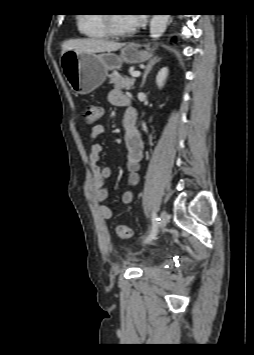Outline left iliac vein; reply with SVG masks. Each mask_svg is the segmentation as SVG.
<instances>
[{"label": "left iliac vein", "instance_id": "left-iliac-vein-1", "mask_svg": "<svg viewBox=\"0 0 254 355\" xmlns=\"http://www.w3.org/2000/svg\"><path fill=\"white\" fill-rule=\"evenodd\" d=\"M160 219H161V221L158 225V229H163L167 225L168 220H169V215L165 210H163L161 212Z\"/></svg>", "mask_w": 254, "mask_h": 355}]
</instances>
